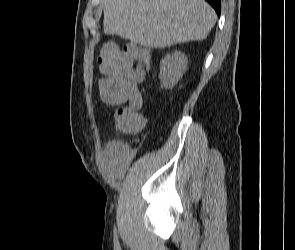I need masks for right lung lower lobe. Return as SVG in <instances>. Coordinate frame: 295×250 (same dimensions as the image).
<instances>
[{"instance_id": "right-lung-lower-lobe-1", "label": "right lung lower lobe", "mask_w": 295, "mask_h": 250, "mask_svg": "<svg viewBox=\"0 0 295 250\" xmlns=\"http://www.w3.org/2000/svg\"><path fill=\"white\" fill-rule=\"evenodd\" d=\"M216 11L217 15L221 13V2L220 0H206Z\"/></svg>"}]
</instances>
